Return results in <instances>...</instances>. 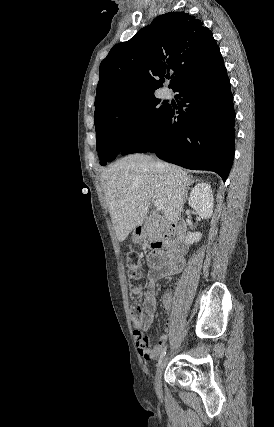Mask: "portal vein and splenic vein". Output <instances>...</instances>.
I'll return each instance as SVG.
<instances>
[{"label":"portal vein and splenic vein","mask_w":274,"mask_h":427,"mask_svg":"<svg viewBox=\"0 0 274 427\" xmlns=\"http://www.w3.org/2000/svg\"><path fill=\"white\" fill-rule=\"evenodd\" d=\"M151 202H153L155 208H157V210H163V204H162V200H151Z\"/></svg>","instance_id":"portal-vein-and-splenic-vein-1"}]
</instances>
